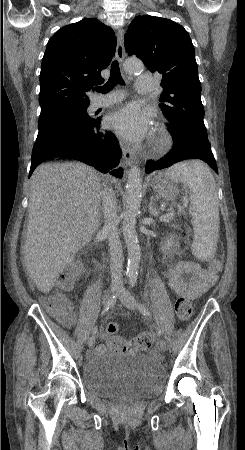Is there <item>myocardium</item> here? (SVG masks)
<instances>
[{
	"label": "myocardium",
	"instance_id": "obj_1",
	"mask_svg": "<svg viewBox=\"0 0 245 450\" xmlns=\"http://www.w3.org/2000/svg\"><path fill=\"white\" fill-rule=\"evenodd\" d=\"M173 144V136L165 124L160 123L157 126L153 149L157 152L168 149Z\"/></svg>",
	"mask_w": 245,
	"mask_h": 450
}]
</instances>
